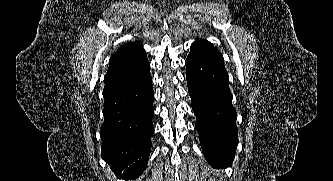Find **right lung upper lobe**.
Segmentation results:
<instances>
[{"instance_id":"1","label":"right lung upper lobe","mask_w":333,"mask_h":181,"mask_svg":"<svg viewBox=\"0 0 333 181\" xmlns=\"http://www.w3.org/2000/svg\"><path fill=\"white\" fill-rule=\"evenodd\" d=\"M150 72L145 50L137 43L121 46L110 58L103 96L141 79Z\"/></svg>"}]
</instances>
